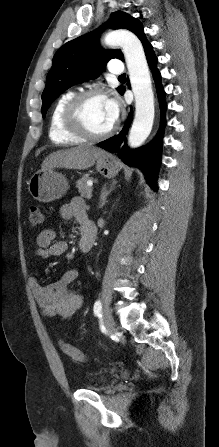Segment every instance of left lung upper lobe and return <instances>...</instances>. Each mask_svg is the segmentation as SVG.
I'll use <instances>...</instances> for the list:
<instances>
[{
    "instance_id": "obj_1",
    "label": "left lung upper lobe",
    "mask_w": 219,
    "mask_h": 447,
    "mask_svg": "<svg viewBox=\"0 0 219 447\" xmlns=\"http://www.w3.org/2000/svg\"><path fill=\"white\" fill-rule=\"evenodd\" d=\"M108 25L114 29H128L140 40L145 37L142 24L122 11L114 12ZM101 31L102 29H98L71 40L56 52L42 93L43 117L51 103L69 87L96 78L110 59L117 58L124 61L120 50L105 51L99 48L98 37ZM117 89L121 93L124 88L120 86Z\"/></svg>"
}]
</instances>
